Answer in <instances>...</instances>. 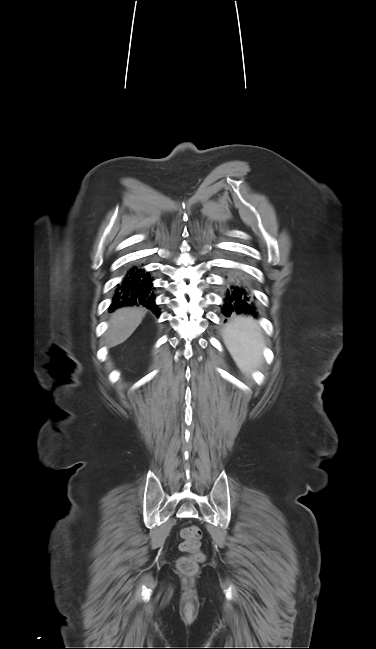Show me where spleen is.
<instances>
[{
    "mask_svg": "<svg viewBox=\"0 0 376 649\" xmlns=\"http://www.w3.org/2000/svg\"><path fill=\"white\" fill-rule=\"evenodd\" d=\"M224 340L235 362L244 372L258 365L264 338L260 326L252 317L236 316L225 326Z\"/></svg>",
    "mask_w": 376,
    "mask_h": 649,
    "instance_id": "1",
    "label": "spleen"
}]
</instances>
